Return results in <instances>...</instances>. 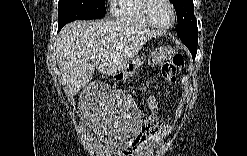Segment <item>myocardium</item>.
I'll return each instance as SVG.
<instances>
[{"mask_svg":"<svg viewBox=\"0 0 247 156\" xmlns=\"http://www.w3.org/2000/svg\"><path fill=\"white\" fill-rule=\"evenodd\" d=\"M162 1L166 2L167 5L171 9L172 20H171V22L169 24L160 25V24L155 23L151 19L150 15H149V11H150V7H151V4H152L153 0H145V1H143V3H142V13H143V16L146 19L147 23L151 27L156 28V29L166 30V29L171 28L175 24V22H176V12H175V8H174V6H173L171 1H169V0H162Z\"/></svg>","mask_w":247,"mask_h":156,"instance_id":"f54148a6","label":"myocardium"}]
</instances>
